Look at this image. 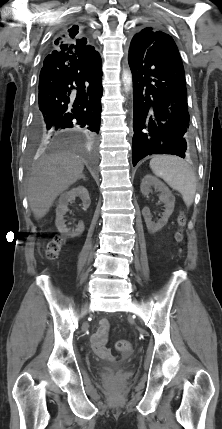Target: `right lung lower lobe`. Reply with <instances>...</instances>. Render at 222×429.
Returning a JSON list of instances; mask_svg holds the SVG:
<instances>
[{"label":"right lung lower lobe","mask_w":222,"mask_h":429,"mask_svg":"<svg viewBox=\"0 0 222 429\" xmlns=\"http://www.w3.org/2000/svg\"><path fill=\"white\" fill-rule=\"evenodd\" d=\"M102 90L99 53L82 60L60 51L48 54L39 76L31 135L53 141L70 131L97 134Z\"/></svg>","instance_id":"right-lung-lower-lobe-1"}]
</instances>
